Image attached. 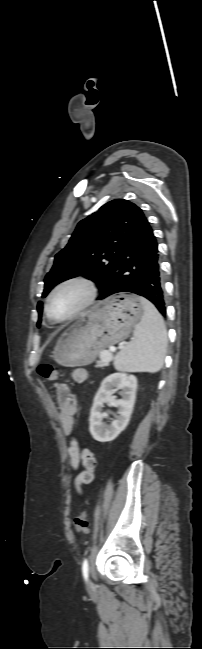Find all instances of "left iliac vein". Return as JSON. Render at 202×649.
Instances as JSON below:
<instances>
[{"label":"left iliac vein","instance_id":"left-iliac-vein-1","mask_svg":"<svg viewBox=\"0 0 202 649\" xmlns=\"http://www.w3.org/2000/svg\"><path fill=\"white\" fill-rule=\"evenodd\" d=\"M92 586H93V584H92V582L89 580V581L87 582V589H88V590H91V589H92Z\"/></svg>","mask_w":202,"mask_h":649}]
</instances>
